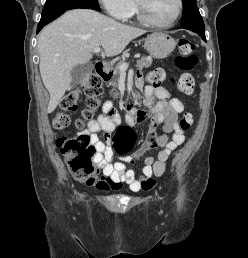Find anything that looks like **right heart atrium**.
Returning <instances> with one entry per match:
<instances>
[{
	"label": "right heart atrium",
	"mask_w": 248,
	"mask_h": 258,
	"mask_svg": "<svg viewBox=\"0 0 248 258\" xmlns=\"http://www.w3.org/2000/svg\"><path fill=\"white\" fill-rule=\"evenodd\" d=\"M104 10L115 19H126L133 9L132 0H98Z\"/></svg>",
	"instance_id": "obj_1"
}]
</instances>
